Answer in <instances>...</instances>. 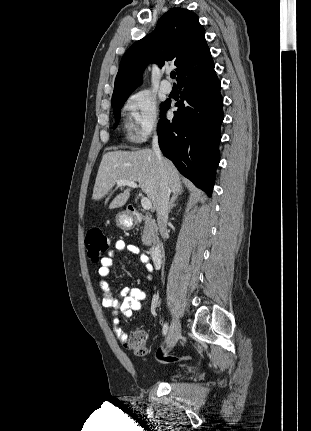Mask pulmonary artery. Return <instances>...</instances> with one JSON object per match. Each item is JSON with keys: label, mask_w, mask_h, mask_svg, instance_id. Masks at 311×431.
Instances as JSON below:
<instances>
[{"label": "pulmonary artery", "mask_w": 311, "mask_h": 431, "mask_svg": "<svg viewBox=\"0 0 311 431\" xmlns=\"http://www.w3.org/2000/svg\"><path fill=\"white\" fill-rule=\"evenodd\" d=\"M161 89L166 94H170L173 91L172 84L167 80L162 81Z\"/></svg>", "instance_id": "1"}]
</instances>
